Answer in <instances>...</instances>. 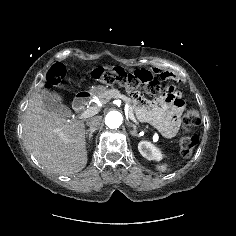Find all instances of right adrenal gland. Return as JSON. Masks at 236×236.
Listing matches in <instances>:
<instances>
[{"label":"right adrenal gland","mask_w":236,"mask_h":236,"mask_svg":"<svg viewBox=\"0 0 236 236\" xmlns=\"http://www.w3.org/2000/svg\"><path fill=\"white\" fill-rule=\"evenodd\" d=\"M97 129L94 128H90L88 130H86L85 134H86V138L89 140V142L92 140V136H93V133L96 131Z\"/></svg>","instance_id":"1"}]
</instances>
